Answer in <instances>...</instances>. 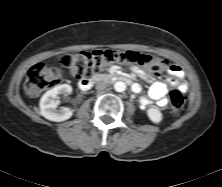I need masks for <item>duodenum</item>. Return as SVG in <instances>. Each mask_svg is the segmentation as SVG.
<instances>
[{
	"label": "duodenum",
	"mask_w": 222,
	"mask_h": 187,
	"mask_svg": "<svg viewBox=\"0 0 222 187\" xmlns=\"http://www.w3.org/2000/svg\"><path fill=\"white\" fill-rule=\"evenodd\" d=\"M105 81V80H112V81H124V82H130L131 78L130 76L122 73L113 72L108 75H96L92 80H82L79 83V88L81 90H89L93 84L94 81Z\"/></svg>",
	"instance_id": "1"
}]
</instances>
